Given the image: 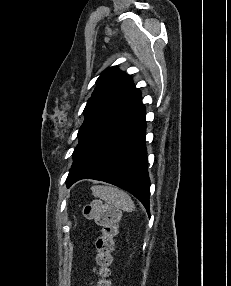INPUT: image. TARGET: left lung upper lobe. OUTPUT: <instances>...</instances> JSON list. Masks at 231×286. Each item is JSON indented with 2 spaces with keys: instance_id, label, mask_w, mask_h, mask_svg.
<instances>
[{
  "instance_id": "left-lung-upper-lobe-1",
  "label": "left lung upper lobe",
  "mask_w": 231,
  "mask_h": 286,
  "mask_svg": "<svg viewBox=\"0 0 231 286\" xmlns=\"http://www.w3.org/2000/svg\"><path fill=\"white\" fill-rule=\"evenodd\" d=\"M96 84L83 111L85 120L78 132L79 140L138 90L132 78L119 71L116 66L106 69L99 76Z\"/></svg>"
}]
</instances>
